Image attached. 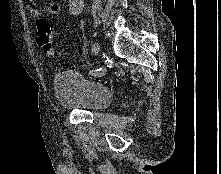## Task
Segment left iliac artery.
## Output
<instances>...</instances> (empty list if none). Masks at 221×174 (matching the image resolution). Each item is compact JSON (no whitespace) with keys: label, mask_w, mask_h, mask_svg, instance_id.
Listing matches in <instances>:
<instances>
[{"label":"left iliac artery","mask_w":221,"mask_h":174,"mask_svg":"<svg viewBox=\"0 0 221 174\" xmlns=\"http://www.w3.org/2000/svg\"><path fill=\"white\" fill-rule=\"evenodd\" d=\"M105 73H106V67H100V68L93 71V74L97 75V76H102Z\"/></svg>","instance_id":"1"}]
</instances>
